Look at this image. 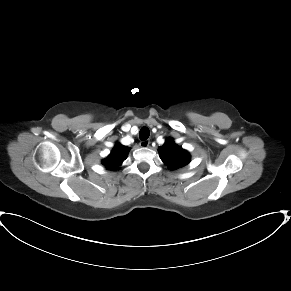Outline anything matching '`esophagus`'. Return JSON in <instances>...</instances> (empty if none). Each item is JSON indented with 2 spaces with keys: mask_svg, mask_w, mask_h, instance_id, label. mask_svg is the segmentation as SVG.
I'll list each match as a JSON object with an SVG mask.
<instances>
[{
  "mask_svg": "<svg viewBox=\"0 0 291 291\" xmlns=\"http://www.w3.org/2000/svg\"><path fill=\"white\" fill-rule=\"evenodd\" d=\"M149 145H150V141L149 140H144V141L140 142V146L142 148H147V147H149Z\"/></svg>",
  "mask_w": 291,
  "mask_h": 291,
  "instance_id": "obj_1",
  "label": "esophagus"
}]
</instances>
